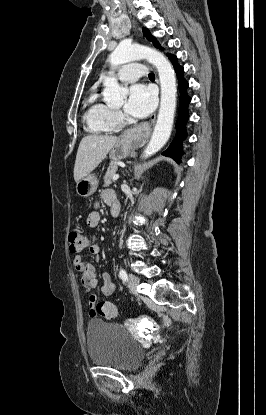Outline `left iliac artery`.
<instances>
[{
  "label": "left iliac artery",
  "instance_id": "left-iliac-artery-1",
  "mask_svg": "<svg viewBox=\"0 0 266 415\" xmlns=\"http://www.w3.org/2000/svg\"><path fill=\"white\" fill-rule=\"evenodd\" d=\"M119 275H120V278L123 280V281H127L128 280V276H127V273H126V271L124 270V269H120L119 270Z\"/></svg>",
  "mask_w": 266,
  "mask_h": 415
}]
</instances>
